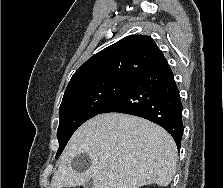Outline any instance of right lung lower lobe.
Returning <instances> with one entry per match:
<instances>
[{"label":"right lung lower lobe","mask_w":224,"mask_h":188,"mask_svg":"<svg viewBox=\"0 0 224 188\" xmlns=\"http://www.w3.org/2000/svg\"><path fill=\"white\" fill-rule=\"evenodd\" d=\"M182 103L167 60L134 78L132 83L100 113L119 112L148 119L167 130L181 147Z\"/></svg>","instance_id":"right-lung-lower-lobe-1"}]
</instances>
